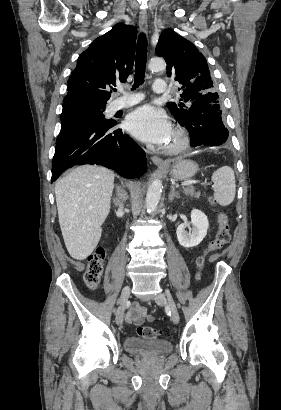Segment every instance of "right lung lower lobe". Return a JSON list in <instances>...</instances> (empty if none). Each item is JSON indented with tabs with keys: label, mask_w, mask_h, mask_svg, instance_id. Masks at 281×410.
Masks as SVG:
<instances>
[{
	"label": "right lung lower lobe",
	"mask_w": 281,
	"mask_h": 410,
	"mask_svg": "<svg viewBox=\"0 0 281 410\" xmlns=\"http://www.w3.org/2000/svg\"><path fill=\"white\" fill-rule=\"evenodd\" d=\"M114 120L87 123L59 134L52 161L55 181L74 165L97 164L113 169L123 177L137 178L147 170L144 151L121 129H112Z\"/></svg>",
	"instance_id": "right-lung-lower-lobe-1"
}]
</instances>
